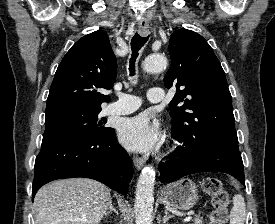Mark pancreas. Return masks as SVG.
<instances>
[{"mask_svg": "<svg viewBox=\"0 0 275 224\" xmlns=\"http://www.w3.org/2000/svg\"><path fill=\"white\" fill-rule=\"evenodd\" d=\"M191 224H203V217L201 215H196Z\"/></svg>", "mask_w": 275, "mask_h": 224, "instance_id": "obj_1", "label": "pancreas"}]
</instances>
